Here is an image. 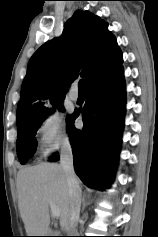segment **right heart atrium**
<instances>
[{"instance_id":"obj_1","label":"right heart atrium","mask_w":158,"mask_h":237,"mask_svg":"<svg viewBox=\"0 0 158 237\" xmlns=\"http://www.w3.org/2000/svg\"><path fill=\"white\" fill-rule=\"evenodd\" d=\"M38 143L40 153L44 156L54 154L59 148L68 145L69 136L61 114L57 111H47L38 124Z\"/></svg>"}]
</instances>
